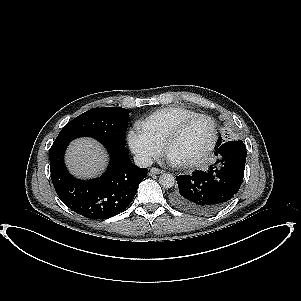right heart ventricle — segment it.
Here are the masks:
<instances>
[{
    "mask_svg": "<svg viewBox=\"0 0 301 301\" xmlns=\"http://www.w3.org/2000/svg\"><path fill=\"white\" fill-rule=\"evenodd\" d=\"M196 114L184 107H166L151 113L140 125L150 137L162 143L179 123Z\"/></svg>",
    "mask_w": 301,
    "mask_h": 301,
    "instance_id": "right-heart-ventricle-1",
    "label": "right heart ventricle"
}]
</instances>
